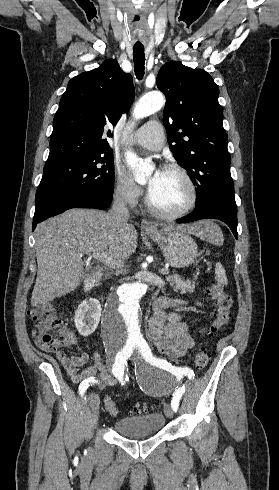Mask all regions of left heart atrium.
<instances>
[{
    "instance_id": "39dd6f15",
    "label": "left heart atrium",
    "mask_w": 279,
    "mask_h": 490,
    "mask_svg": "<svg viewBox=\"0 0 279 490\" xmlns=\"http://www.w3.org/2000/svg\"><path fill=\"white\" fill-rule=\"evenodd\" d=\"M162 175H163L162 169H156L154 173L151 175L147 186L149 196H152L155 193V190L157 189L158 185L161 182Z\"/></svg>"
}]
</instances>
